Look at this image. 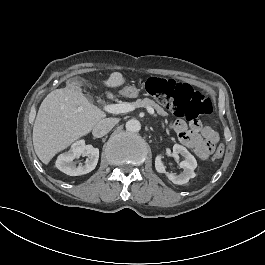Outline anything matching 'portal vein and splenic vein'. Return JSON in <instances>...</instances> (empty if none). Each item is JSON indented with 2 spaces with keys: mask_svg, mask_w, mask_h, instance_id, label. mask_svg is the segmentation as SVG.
Masks as SVG:
<instances>
[{
  "mask_svg": "<svg viewBox=\"0 0 265 265\" xmlns=\"http://www.w3.org/2000/svg\"><path fill=\"white\" fill-rule=\"evenodd\" d=\"M102 110L109 114H120L133 110V105L130 103H120V104H104L102 105ZM150 115H154L155 111L152 108H147Z\"/></svg>",
  "mask_w": 265,
  "mask_h": 265,
  "instance_id": "obj_1",
  "label": "portal vein and splenic vein"
}]
</instances>
